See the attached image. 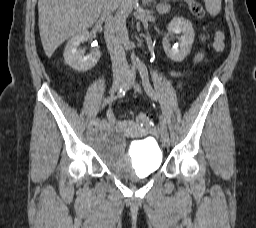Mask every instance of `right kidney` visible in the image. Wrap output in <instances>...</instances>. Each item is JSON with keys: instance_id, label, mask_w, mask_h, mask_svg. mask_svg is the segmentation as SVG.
I'll return each mask as SVG.
<instances>
[{"instance_id": "right-kidney-1", "label": "right kidney", "mask_w": 256, "mask_h": 228, "mask_svg": "<svg viewBox=\"0 0 256 228\" xmlns=\"http://www.w3.org/2000/svg\"><path fill=\"white\" fill-rule=\"evenodd\" d=\"M90 37L88 31H82L73 35L66 44L64 50V61L76 71L86 72L93 68L101 57L99 50L92 51L89 55L84 56L85 51L78 47Z\"/></svg>"}]
</instances>
